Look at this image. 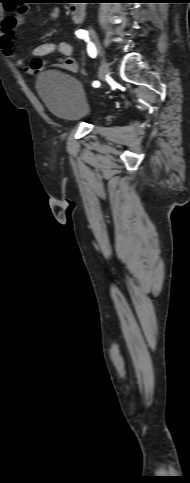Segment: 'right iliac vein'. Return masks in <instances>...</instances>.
<instances>
[{
    "label": "right iliac vein",
    "mask_w": 190,
    "mask_h": 483,
    "mask_svg": "<svg viewBox=\"0 0 190 483\" xmlns=\"http://www.w3.org/2000/svg\"><path fill=\"white\" fill-rule=\"evenodd\" d=\"M91 35H92V37L95 41V44H96V46H97V48H98V50H99V52L102 56V63H101V67H100V70H99L98 77H99L100 80L103 81V80H105V78H106V76L109 72V65H108V62L105 58V52H104V50H103V48L100 44L98 36L96 35V33L94 31H91Z\"/></svg>",
    "instance_id": "63e3f726"
}]
</instances>
